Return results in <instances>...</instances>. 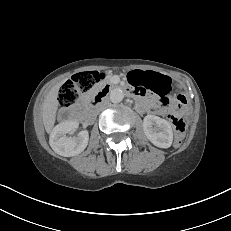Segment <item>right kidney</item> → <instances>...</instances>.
Segmentation results:
<instances>
[{"label":"right kidney","mask_w":231,"mask_h":231,"mask_svg":"<svg viewBox=\"0 0 231 231\" xmlns=\"http://www.w3.org/2000/svg\"><path fill=\"white\" fill-rule=\"evenodd\" d=\"M78 125L74 121H66L54 127L50 134L51 148L59 155L71 157L80 154L88 145L89 133L81 131L77 137H69L68 133L76 131Z\"/></svg>","instance_id":"obj_1"}]
</instances>
